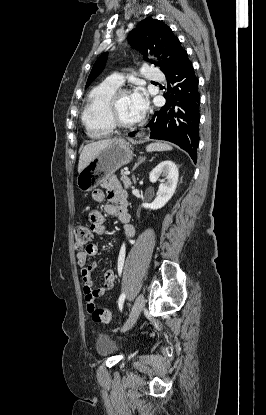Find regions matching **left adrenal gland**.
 <instances>
[{
	"instance_id": "left-adrenal-gland-1",
	"label": "left adrenal gland",
	"mask_w": 266,
	"mask_h": 415,
	"mask_svg": "<svg viewBox=\"0 0 266 415\" xmlns=\"http://www.w3.org/2000/svg\"><path fill=\"white\" fill-rule=\"evenodd\" d=\"M145 161V157H139L138 162L135 164L133 170H135L141 163H143ZM133 181L135 182V177L132 176Z\"/></svg>"
}]
</instances>
